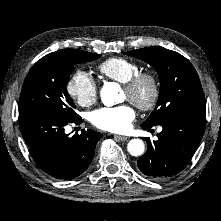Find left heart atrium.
<instances>
[{"instance_id":"1","label":"left heart atrium","mask_w":221,"mask_h":221,"mask_svg":"<svg viewBox=\"0 0 221 221\" xmlns=\"http://www.w3.org/2000/svg\"><path fill=\"white\" fill-rule=\"evenodd\" d=\"M134 118L135 112L127 104L104 107L94 111L91 115V121L97 128L114 133L128 131Z\"/></svg>"}]
</instances>
